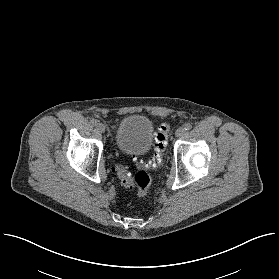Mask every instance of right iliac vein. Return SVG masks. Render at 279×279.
Masks as SVG:
<instances>
[{
  "instance_id": "right-iliac-vein-1",
  "label": "right iliac vein",
  "mask_w": 279,
  "mask_h": 279,
  "mask_svg": "<svg viewBox=\"0 0 279 279\" xmlns=\"http://www.w3.org/2000/svg\"><path fill=\"white\" fill-rule=\"evenodd\" d=\"M95 126L99 132L103 133L105 131L103 124L97 123Z\"/></svg>"
}]
</instances>
